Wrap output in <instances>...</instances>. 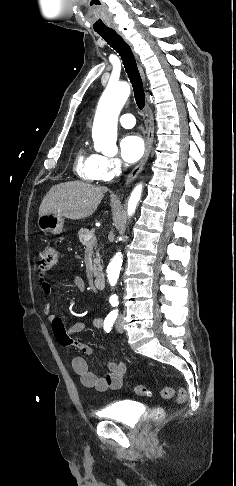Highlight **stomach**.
<instances>
[{"label": "stomach", "instance_id": "obj_1", "mask_svg": "<svg viewBox=\"0 0 236 486\" xmlns=\"http://www.w3.org/2000/svg\"><path fill=\"white\" fill-rule=\"evenodd\" d=\"M64 218L56 214H47L40 216L37 221L38 228L44 232L60 234L63 229Z\"/></svg>", "mask_w": 236, "mask_h": 486}]
</instances>
